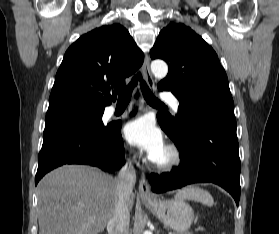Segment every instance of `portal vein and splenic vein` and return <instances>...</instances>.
I'll use <instances>...</instances> for the list:
<instances>
[{
  "label": "portal vein and splenic vein",
  "mask_w": 279,
  "mask_h": 234,
  "mask_svg": "<svg viewBox=\"0 0 279 234\" xmlns=\"http://www.w3.org/2000/svg\"><path fill=\"white\" fill-rule=\"evenodd\" d=\"M91 222L93 221V220H90ZM196 230H201V228L200 227H198V228H196Z\"/></svg>",
  "instance_id": "obj_1"
}]
</instances>
